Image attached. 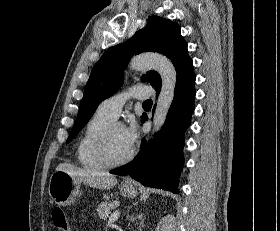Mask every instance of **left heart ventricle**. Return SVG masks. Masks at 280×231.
<instances>
[{
    "instance_id": "b2bd125f",
    "label": "left heart ventricle",
    "mask_w": 280,
    "mask_h": 231,
    "mask_svg": "<svg viewBox=\"0 0 280 231\" xmlns=\"http://www.w3.org/2000/svg\"><path fill=\"white\" fill-rule=\"evenodd\" d=\"M121 125H116L112 128L108 139V152L112 159L119 160L125 157L130 151H128L121 137Z\"/></svg>"
}]
</instances>
